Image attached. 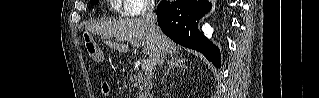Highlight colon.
I'll return each instance as SVG.
<instances>
[{"instance_id": "1", "label": "colon", "mask_w": 319, "mask_h": 98, "mask_svg": "<svg viewBox=\"0 0 319 98\" xmlns=\"http://www.w3.org/2000/svg\"><path fill=\"white\" fill-rule=\"evenodd\" d=\"M84 47L87 55L95 62H100L103 60V53L95 41L92 39L90 34H84ZM107 91V88H105Z\"/></svg>"}]
</instances>
